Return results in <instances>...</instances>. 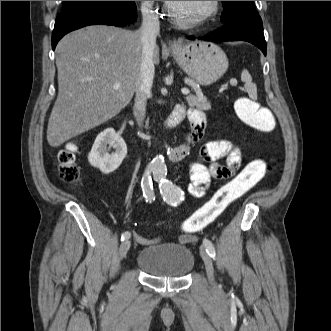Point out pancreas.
I'll use <instances>...</instances> for the list:
<instances>
[{
    "mask_svg": "<svg viewBox=\"0 0 331 331\" xmlns=\"http://www.w3.org/2000/svg\"><path fill=\"white\" fill-rule=\"evenodd\" d=\"M186 100L190 106H195L198 109L208 110L211 108L210 101L201 93L190 95L186 97Z\"/></svg>",
    "mask_w": 331,
    "mask_h": 331,
    "instance_id": "pancreas-1",
    "label": "pancreas"
}]
</instances>
